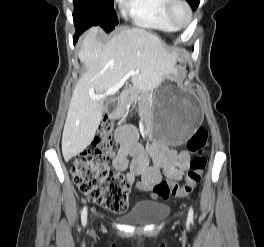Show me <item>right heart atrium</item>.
Segmentation results:
<instances>
[{
	"label": "right heart atrium",
	"instance_id": "right-heart-atrium-1",
	"mask_svg": "<svg viewBox=\"0 0 264 247\" xmlns=\"http://www.w3.org/2000/svg\"><path fill=\"white\" fill-rule=\"evenodd\" d=\"M122 10L126 9L130 3V0H116Z\"/></svg>",
	"mask_w": 264,
	"mask_h": 247
}]
</instances>
